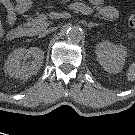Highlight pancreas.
<instances>
[{"label": "pancreas", "instance_id": "obj_1", "mask_svg": "<svg viewBox=\"0 0 135 135\" xmlns=\"http://www.w3.org/2000/svg\"><path fill=\"white\" fill-rule=\"evenodd\" d=\"M46 18H47L46 15L40 14L38 17L32 19L31 22H28L26 24L25 30L30 35L37 34L41 31L45 30L47 27Z\"/></svg>", "mask_w": 135, "mask_h": 135}]
</instances>
